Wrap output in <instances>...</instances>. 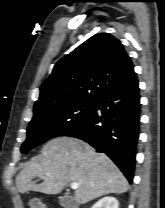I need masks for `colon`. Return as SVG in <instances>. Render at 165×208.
I'll return each instance as SVG.
<instances>
[{
    "label": "colon",
    "mask_w": 165,
    "mask_h": 208,
    "mask_svg": "<svg viewBox=\"0 0 165 208\" xmlns=\"http://www.w3.org/2000/svg\"><path fill=\"white\" fill-rule=\"evenodd\" d=\"M30 208H48L46 204L38 199H33L30 202Z\"/></svg>",
    "instance_id": "5ec220e1"
}]
</instances>
